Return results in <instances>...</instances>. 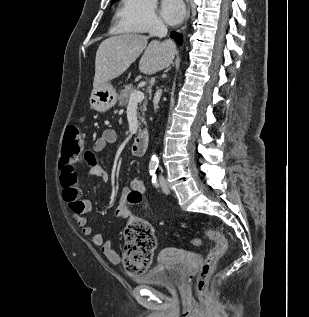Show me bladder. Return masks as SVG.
I'll list each match as a JSON object with an SVG mask.
<instances>
[{
  "instance_id": "1",
  "label": "bladder",
  "mask_w": 309,
  "mask_h": 317,
  "mask_svg": "<svg viewBox=\"0 0 309 317\" xmlns=\"http://www.w3.org/2000/svg\"><path fill=\"white\" fill-rule=\"evenodd\" d=\"M138 284L158 285L167 289H178L184 282L183 268L179 263H158L135 278Z\"/></svg>"
}]
</instances>
